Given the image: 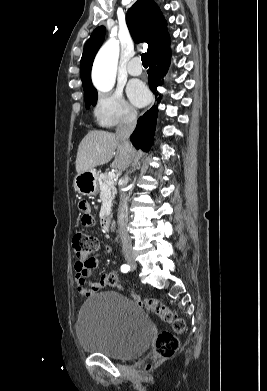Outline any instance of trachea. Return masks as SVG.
Wrapping results in <instances>:
<instances>
[{"label":"trachea","instance_id":"3493384b","mask_svg":"<svg viewBox=\"0 0 267 391\" xmlns=\"http://www.w3.org/2000/svg\"><path fill=\"white\" fill-rule=\"evenodd\" d=\"M141 60H142V64L143 65H148V60H147V54L146 53H142L141 54Z\"/></svg>","mask_w":267,"mask_h":391}]
</instances>
